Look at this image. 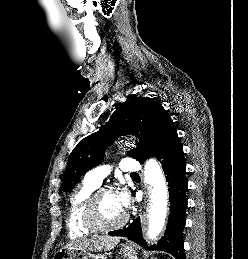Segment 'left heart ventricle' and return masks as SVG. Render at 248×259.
<instances>
[{"label":"left heart ventricle","instance_id":"b2bd125f","mask_svg":"<svg viewBox=\"0 0 248 259\" xmlns=\"http://www.w3.org/2000/svg\"><path fill=\"white\" fill-rule=\"evenodd\" d=\"M98 213L103 222L113 223L124 216L125 210L118 202L115 192H105L100 196Z\"/></svg>","mask_w":248,"mask_h":259}]
</instances>
